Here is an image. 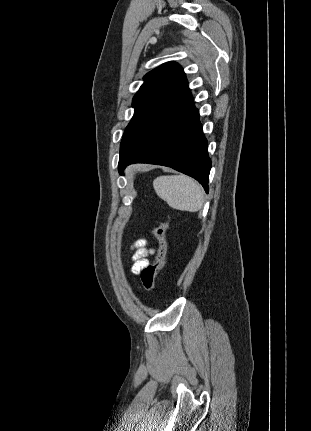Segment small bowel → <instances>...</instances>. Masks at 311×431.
Returning <instances> with one entry per match:
<instances>
[{
    "label": "small bowel",
    "instance_id": "obj_1",
    "mask_svg": "<svg viewBox=\"0 0 311 431\" xmlns=\"http://www.w3.org/2000/svg\"><path fill=\"white\" fill-rule=\"evenodd\" d=\"M133 248L135 252L132 256V259H133L132 272L135 274H138L144 267H146L149 264L147 257L150 254H153L154 250L149 249L147 247V242L145 239L137 240L133 245Z\"/></svg>",
    "mask_w": 311,
    "mask_h": 431
}]
</instances>
